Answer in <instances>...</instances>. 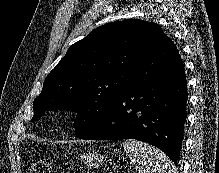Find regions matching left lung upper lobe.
<instances>
[{"label": "left lung upper lobe", "instance_id": "1", "mask_svg": "<svg viewBox=\"0 0 219 173\" xmlns=\"http://www.w3.org/2000/svg\"><path fill=\"white\" fill-rule=\"evenodd\" d=\"M168 38L158 24L128 19L103 25L73 44L34 100L35 121L46 110L77 112L76 136L93 132L134 86L137 67Z\"/></svg>", "mask_w": 219, "mask_h": 173}]
</instances>
